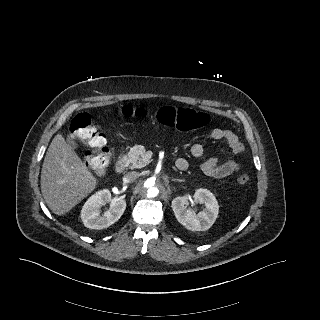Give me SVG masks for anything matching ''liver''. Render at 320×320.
Returning <instances> with one entry per match:
<instances>
[{
    "label": "liver",
    "instance_id": "obj_1",
    "mask_svg": "<svg viewBox=\"0 0 320 320\" xmlns=\"http://www.w3.org/2000/svg\"><path fill=\"white\" fill-rule=\"evenodd\" d=\"M96 178L61 134L52 140L41 171V192L49 209L64 215L91 193Z\"/></svg>",
    "mask_w": 320,
    "mask_h": 320
}]
</instances>
